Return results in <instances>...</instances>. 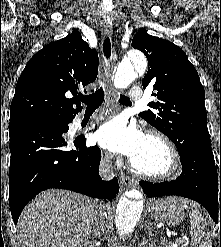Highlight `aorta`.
Returning a JSON list of instances; mask_svg holds the SVG:
<instances>
[{
    "instance_id": "1",
    "label": "aorta",
    "mask_w": 221,
    "mask_h": 247,
    "mask_svg": "<svg viewBox=\"0 0 221 247\" xmlns=\"http://www.w3.org/2000/svg\"><path fill=\"white\" fill-rule=\"evenodd\" d=\"M147 68L145 56L138 51H129L126 59V71L132 75L134 71L143 74ZM143 200H131L122 196L117 204L115 225L119 235L131 233L140 219Z\"/></svg>"
}]
</instances>
